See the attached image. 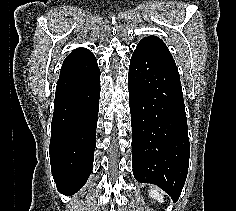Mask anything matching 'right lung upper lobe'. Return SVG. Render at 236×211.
<instances>
[{
	"instance_id": "cb5924a9",
	"label": "right lung upper lobe",
	"mask_w": 236,
	"mask_h": 211,
	"mask_svg": "<svg viewBox=\"0 0 236 211\" xmlns=\"http://www.w3.org/2000/svg\"><path fill=\"white\" fill-rule=\"evenodd\" d=\"M97 67V60L88 49L77 48L65 58L59 79L85 74Z\"/></svg>"
}]
</instances>
